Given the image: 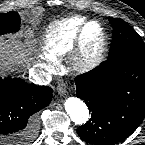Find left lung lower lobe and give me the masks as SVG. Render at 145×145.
<instances>
[{
	"label": "left lung lower lobe",
	"mask_w": 145,
	"mask_h": 145,
	"mask_svg": "<svg viewBox=\"0 0 145 145\" xmlns=\"http://www.w3.org/2000/svg\"><path fill=\"white\" fill-rule=\"evenodd\" d=\"M77 97L85 100L90 120L77 128L85 142L109 145L123 141L145 117V60L108 59L76 78Z\"/></svg>",
	"instance_id": "0a47b994"
}]
</instances>
